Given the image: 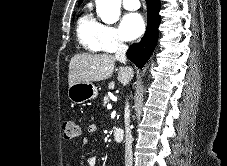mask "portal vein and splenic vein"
Here are the masks:
<instances>
[{"label":"portal vein and splenic vein","instance_id":"obj_1","mask_svg":"<svg viewBox=\"0 0 227 166\" xmlns=\"http://www.w3.org/2000/svg\"><path fill=\"white\" fill-rule=\"evenodd\" d=\"M112 108V105L111 104H108L107 105V109H111Z\"/></svg>","mask_w":227,"mask_h":166}]
</instances>
